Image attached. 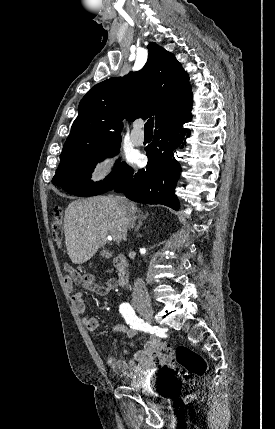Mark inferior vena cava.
Wrapping results in <instances>:
<instances>
[{
  "mask_svg": "<svg viewBox=\"0 0 275 429\" xmlns=\"http://www.w3.org/2000/svg\"><path fill=\"white\" fill-rule=\"evenodd\" d=\"M123 201V198H120ZM124 209L127 213L126 215V223L128 228H133L135 224L136 217L134 213L129 210L128 205L124 204ZM132 299L134 303H146L150 304V297L146 288L144 281L141 278L136 279L133 287Z\"/></svg>",
  "mask_w": 275,
  "mask_h": 429,
  "instance_id": "1",
  "label": "inferior vena cava"
}]
</instances>
